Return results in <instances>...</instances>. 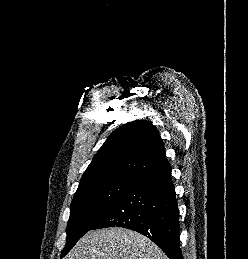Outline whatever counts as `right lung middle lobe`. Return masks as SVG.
Wrapping results in <instances>:
<instances>
[{
  "label": "right lung middle lobe",
  "mask_w": 248,
  "mask_h": 259,
  "mask_svg": "<svg viewBox=\"0 0 248 259\" xmlns=\"http://www.w3.org/2000/svg\"><path fill=\"white\" fill-rule=\"evenodd\" d=\"M131 185L122 181H108L78 187L70 206L66 245L61 257L92 229Z\"/></svg>",
  "instance_id": "1"
}]
</instances>
